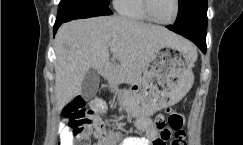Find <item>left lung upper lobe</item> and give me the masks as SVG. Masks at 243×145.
Returning a JSON list of instances; mask_svg holds the SVG:
<instances>
[{"label": "left lung upper lobe", "mask_w": 243, "mask_h": 145, "mask_svg": "<svg viewBox=\"0 0 243 145\" xmlns=\"http://www.w3.org/2000/svg\"><path fill=\"white\" fill-rule=\"evenodd\" d=\"M178 5L183 20H191L207 31V0H178Z\"/></svg>", "instance_id": "left-lung-upper-lobe-1"}]
</instances>
